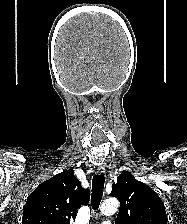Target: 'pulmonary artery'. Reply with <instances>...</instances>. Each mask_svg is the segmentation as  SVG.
Masks as SVG:
<instances>
[{
	"label": "pulmonary artery",
	"mask_w": 187,
	"mask_h": 224,
	"mask_svg": "<svg viewBox=\"0 0 187 224\" xmlns=\"http://www.w3.org/2000/svg\"><path fill=\"white\" fill-rule=\"evenodd\" d=\"M101 224H112L111 221H103Z\"/></svg>",
	"instance_id": "1"
}]
</instances>
